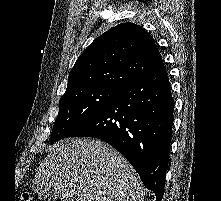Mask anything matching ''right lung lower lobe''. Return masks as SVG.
Listing matches in <instances>:
<instances>
[{
    "instance_id": "1",
    "label": "right lung lower lobe",
    "mask_w": 221,
    "mask_h": 201,
    "mask_svg": "<svg viewBox=\"0 0 221 201\" xmlns=\"http://www.w3.org/2000/svg\"><path fill=\"white\" fill-rule=\"evenodd\" d=\"M174 99L163 64L118 90L68 137H93L115 147L161 201L169 161Z\"/></svg>"
}]
</instances>
